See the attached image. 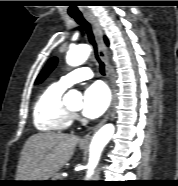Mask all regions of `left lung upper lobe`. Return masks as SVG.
<instances>
[{
  "label": "left lung upper lobe",
  "instance_id": "1",
  "mask_svg": "<svg viewBox=\"0 0 178 186\" xmlns=\"http://www.w3.org/2000/svg\"><path fill=\"white\" fill-rule=\"evenodd\" d=\"M56 63H57V58L56 57L51 58L46 64V66L44 67V69L41 71L39 76L37 77L35 84L41 83L49 75V73L55 68Z\"/></svg>",
  "mask_w": 178,
  "mask_h": 186
}]
</instances>
